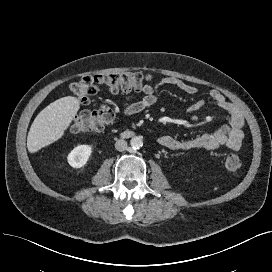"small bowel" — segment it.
Instances as JSON below:
<instances>
[{
    "instance_id": "c3829d8e",
    "label": "small bowel",
    "mask_w": 272,
    "mask_h": 272,
    "mask_svg": "<svg viewBox=\"0 0 272 272\" xmlns=\"http://www.w3.org/2000/svg\"><path fill=\"white\" fill-rule=\"evenodd\" d=\"M161 85H172L189 95L198 93L196 86L176 77L165 76L156 82L151 92L141 97L134 94L127 95L123 114L125 116H133L156 104V89ZM209 96L211 100L228 115V123L222 125L214 132L204 133L188 140H181L172 135H163L159 138V143L170 150H214L222 146L231 150H239L244 138L243 127L245 118L243 112L216 89L210 90ZM204 105L205 101L203 99L198 100L188 108V112L194 115Z\"/></svg>"
}]
</instances>
